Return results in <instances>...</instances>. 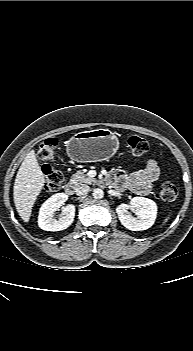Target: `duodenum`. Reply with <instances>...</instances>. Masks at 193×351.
<instances>
[{
    "instance_id": "obj_1",
    "label": "duodenum",
    "mask_w": 193,
    "mask_h": 351,
    "mask_svg": "<svg viewBox=\"0 0 193 351\" xmlns=\"http://www.w3.org/2000/svg\"><path fill=\"white\" fill-rule=\"evenodd\" d=\"M66 191L69 193V194H72L74 192V184L72 182H68L66 184Z\"/></svg>"
}]
</instances>
